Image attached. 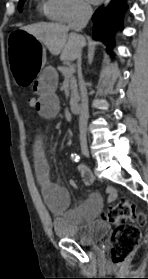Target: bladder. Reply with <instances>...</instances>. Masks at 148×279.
<instances>
[{
  "label": "bladder",
  "mask_w": 148,
  "mask_h": 279,
  "mask_svg": "<svg viewBox=\"0 0 148 279\" xmlns=\"http://www.w3.org/2000/svg\"><path fill=\"white\" fill-rule=\"evenodd\" d=\"M53 229L59 238L89 246L102 240L107 235L109 226L102 220L76 225L68 218L59 216L53 220Z\"/></svg>",
  "instance_id": "31cf9c89"
}]
</instances>
